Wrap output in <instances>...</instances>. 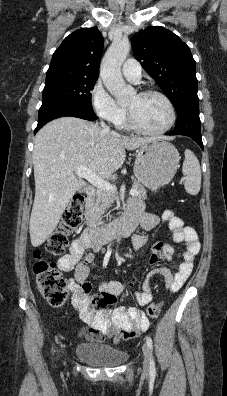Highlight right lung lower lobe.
I'll use <instances>...</instances> for the list:
<instances>
[{"mask_svg": "<svg viewBox=\"0 0 227 396\" xmlns=\"http://www.w3.org/2000/svg\"><path fill=\"white\" fill-rule=\"evenodd\" d=\"M65 116L82 118L89 121L97 119L95 113L87 112L74 104L66 102L52 103L41 106L39 110L38 125L34 134L49 121Z\"/></svg>", "mask_w": 227, "mask_h": 396, "instance_id": "98d812e1", "label": "right lung lower lobe"}]
</instances>
